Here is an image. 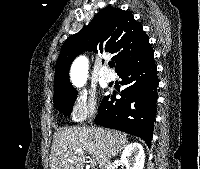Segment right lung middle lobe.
Returning <instances> with one entry per match:
<instances>
[{
    "mask_svg": "<svg viewBox=\"0 0 200 169\" xmlns=\"http://www.w3.org/2000/svg\"><path fill=\"white\" fill-rule=\"evenodd\" d=\"M77 91L58 95L53 97L56 108L62 111L65 115H70L74 101L76 100Z\"/></svg>",
    "mask_w": 200,
    "mask_h": 169,
    "instance_id": "obj_1",
    "label": "right lung middle lobe"
}]
</instances>
